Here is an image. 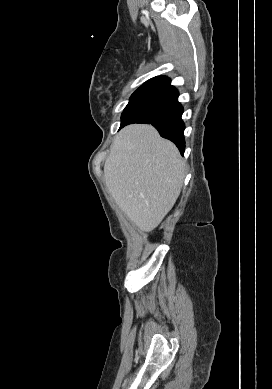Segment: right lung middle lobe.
<instances>
[{
    "label": "right lung middle lobe",
    "mask_w": 272,
    "mask_h": 389,
    "mask_svg": "<svg viewBox=\"0 0 272 389\" xmlns=\"http://www.w3.org/2000/svg\"><path fill=\"white\" fill-rule=\"evenodd\" d=\"M162 87L158 85H152V84H143L140 86L131 96L128 105L125 107L122 116L121 121L126 117V115L138 104H140L142 101H144L146 98H148L150 95L154 94L158 90H160Z\"/></svg>",
    "instance_id": "dd1d6c3e"
}]
</instances>
